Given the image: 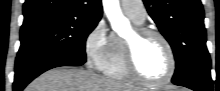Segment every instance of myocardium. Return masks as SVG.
<instances>
[{
    "label": "myocardium",
    "instance_id": "1",
    "mask_svg": "<svg viewBox=\"0 0 220 91\" xmlns=\"http://www.w3.org/2000/svg\"><path fill=\"white\" fill-rule=\"evenodd\" d=\"M147 37H156L158 38L166 48L169 57V70L167 74L158 80H150L145 78L138 69L135 57V46L136 43L140 40H143ZM124 55H125V64L128 73L131 78L139 82L144 86L157 87L166 84L169 82L175 74L176 71V56L173 50L172 45L169 40L159 31L154 30L149 27L136 26L132 31V35L124 39Z\"/></svg>",
    "mask_w": 220,
    "mask_h": 91
}]
</instances>
